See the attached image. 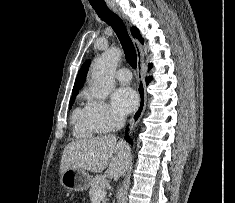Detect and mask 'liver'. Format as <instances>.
I'll use <instances>...</instances> for the list:
<instances>
[{
	"label": "liver",
	"instance_id": "obj_1",
	"mask_svg": "<svg viewBox=\"0 0 235 203\" xmlns=\"http://www.w3.org/2000/svg\"><path fill=\"white\" fill-rule=\"evenodd\" d=\"M131 160V149L123 141L117 142L110 135H101L69 143L63 151L60 174L70 168L102 172L118 180Z\"/></svg>",
	"mask_w": 235,
	"mask_h": 203
}]
</instances>
